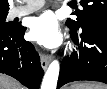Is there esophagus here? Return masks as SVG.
Instances as JSON below:
<instances>
[{"instance_id":"esophagus-1","label":"esophagus","mask_w":107,"mask_h":89,"mask_svg":"<svg viewBox=\"0 0 107 89\" xmlns=\"http://www.w3.org/2000/svg\"><path fill=\"white\" fill-rule=\"evenodd\" d=\"M51 61L50 55L43 54L41 56V67L45 70Z\"/></svg>"}]
</instances>
